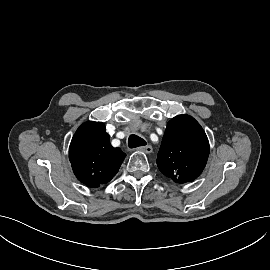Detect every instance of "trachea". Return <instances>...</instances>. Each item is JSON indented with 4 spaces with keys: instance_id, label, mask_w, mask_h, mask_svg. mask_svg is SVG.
<instances>
[{
    "instance_id": "obj_1",
    "label": "trachea",
    "mask_w": 270,
    "mask_h": 270,
    "mask_svg": "<svg viewBox=\"0 0 270 270\" xmlns=\"http://www.w3.org/2000/svg\"><path fill=\"white\" fill-rule=\"evenodd\" d=\"M146 145V141L135 135V134H132L129 136V139H128V146L130 148H136V147H139V146H145Z\"/></svg>"
}]
</instances>
